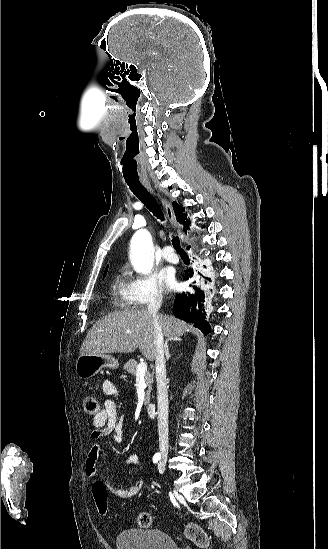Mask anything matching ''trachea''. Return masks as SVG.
I'll return each instance as SVG.
<instances>
[{"instance_id": "obj_1", "label": "trachea", "mask_w": 328, "mask_h": 549, "mask_svg": "<svg viewBox=\"0 0 328 549\" xmlns=\"http://www.w3.org/2000/svg\"><path fill=\"white\" fill-rule=\"evenodd\" d=\"M127 185H129V188L131 191L138 197L139 200L145 205V207L152 212V214L157 217V219H160L161 221H164V214L160 207V205L157 203V201L154 199L153 195H151L147 189H145L144 185L141 184L140 180H131L126 181ZM172 245L176 252L180 255H187L185 250L182 249L180 240L178 237L172 238Z\"/></svg>"}]
</instances>
